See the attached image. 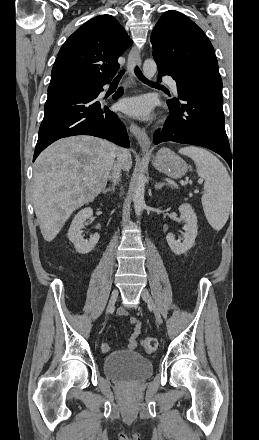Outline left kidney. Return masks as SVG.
Here are the masks:
<instances>
[{"mask_svg":"<svg viewBox=\"0 0 259 440\" xmlns=\"http://www.w3.org/2000/svg\"><path fill=\"white\" fill-rule=\"evenodd\" d=\"M181 213L180 219L185 222V234L183 242L175 240V236L172 233H168L166 236L167 243L171 250L176 255L185 254L192 248L197 236V217L189 204H182L179 207Z\"/></svg>","mask_w":259,"mask_h":440,"instance_id":"obj_1","label":"left kidney"}]
</instances>
